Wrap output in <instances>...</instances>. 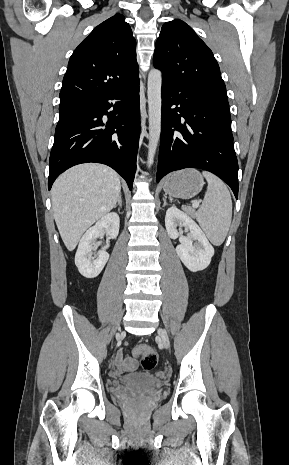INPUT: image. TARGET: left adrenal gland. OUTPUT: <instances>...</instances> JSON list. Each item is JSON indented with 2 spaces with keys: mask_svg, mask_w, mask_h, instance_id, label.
Wrapping results in <instances>:
<instances>
[{
  "mask_svg": "<svg viewBox=\"0 0 289 465\" xmlns=\"http://www.w3.org/2000/svg\"><path fill=\"white\" fill-rule=\"evenodd\" d=\"M167 205V202H166V196H164L163 198V207Z\"/></svg>",
  "mask_w": 289,
  "mask_h": 465,
  "instance_id": "obj_1",
  "label": "left adrenal gland"
}]
</instances>
